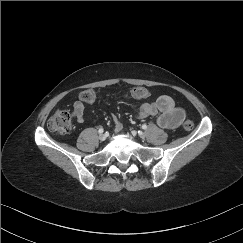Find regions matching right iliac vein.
I'll return each mask as SVG.
<instances>
[{
	"instance_id": "right-iliac-vein-1",
	"label": "right iliac vein",
	"mask_w": 243,
	"mask_h": 243,
	"mask_svg": "<svg viewBox=\"0 0 243 243\" xmlns=\"http://www.w3.org/2000/svg\"><path fill=\"white\" fill-rule=\"evenodd\" d=\"M106 139V136L104 134L99 135V140L104 141Z\"/></svg>"
}]
</instances>
